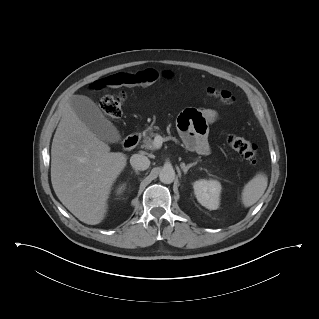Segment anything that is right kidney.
<instances>
[{"mask_svg":"<svg viewBox=\"0 0 319 319\" xmlns=\"http://www.w3.org/2000/svg\"><path fill=\"white\" fill-rule=\"evenodd\" d=\"M123 190H124V185L118 188L117 193L120 194Z\"/></svg>","mask_w":319,"mask_h":319,"instance_id":"ca27d5eb","label":"right kidney"}]
</instances>
